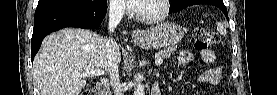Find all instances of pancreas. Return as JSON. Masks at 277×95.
I'll use <instances>...</instances> for the list:
<instances>
[{"label":"pancreas","mask_w":277,"mask_h":95,"mask_svg":"<svg viewBox=\"0 0 277 95\" xmlns=\"http://www.w3.org/2000/svg\"><path fill=\"white\" fill-rule=\"evenodd\" d=\"M175 51V48L174 47H169V48H165V49H162L160 50L158 53H157V56L159 58H161L162 60L163 59H167L171 56V54H173Z\"/></svg>","instance_id":"obj_1"}]
</instances>
